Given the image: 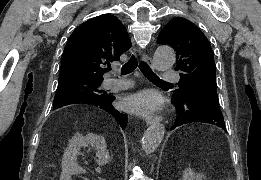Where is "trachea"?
I'll return each mask as SVG.
<instances>
[{"mask_svg":"<svg viewBox=\"0 0 261 180\" xmlns=\"http://www.w3.org/2000/svg\"><path fill=\"white\" fill-rule=\"evenodd\" d=\"M139 66L141 72L143 75L150 80L152 83L156 84H169V82H165L164 80H161L147 65L145 62H138L135 55H132L131 58L128 60L127 63H125L121 69V72L123 75H126L127 73H132L134 70ZM110 67L106 68V71H109Z\"/></svg>","mask_w":261,"mask_h":180,"instance_id":"trachea-1","label":"trachea"}]
</instances>
